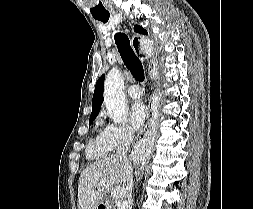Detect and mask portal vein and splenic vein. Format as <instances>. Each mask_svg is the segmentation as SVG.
Returning a JSON list of instances; mask_svg holds the SVG:
<instances>
[{"label": "portal vein and splenic vein", "instance_id": "obj_1", "mask_svg": "<svg viewBox=\"0 0 253 209\" xmlns=\"http://www.w3.org/2000/svg\"><path fill=\"white\" fill-rule=\"evenodd\" d=\"M113 192H114L115 195L119 194V192H120V187L115 188ZM127 207H128V202H127V201H123V202L119 205L118 209H127Z\"/></svg>", "mask_w": 253, "mask_h": 209}]
</instances>
